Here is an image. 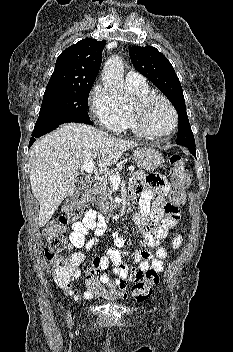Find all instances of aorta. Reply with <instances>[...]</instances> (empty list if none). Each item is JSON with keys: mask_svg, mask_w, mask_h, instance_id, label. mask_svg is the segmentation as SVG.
Masks as SVG:
<instances>
[{"mask_svg": "<svg viewBox=\"0 0 233 352\" xmlns=\"http://www.w3.org/2000/svg\"><path fill=\"white\" fill-rule=\"evenodd\" d=\"M123 60L119 56L109 58L103 67L102 81L104 88L119 104H127L133 99L131 91L126 87L123 76Z\"/></svg>", "mask_w": 233, "mask_h": 352, "instance_id": "obj_1", "label": "aorta"}]
</instances>
